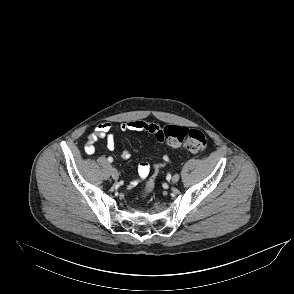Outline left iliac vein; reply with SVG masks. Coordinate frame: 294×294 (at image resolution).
<instances>
[{"label": "left iliac vein", "mask_w": 294, "mask_h": 294, "mask_svg": "<svg viewBox=\"0 0 294 294\" xmlns=\"http://www.w3.org/2000/svg\"><path fill=\"white\" fill-rule=\"evenodd\" d=\"M180 179V176L178 174L174 175L171 179V183H176L178 182Z\"/></svg>", "instance_id": "1"}]
</instances>
